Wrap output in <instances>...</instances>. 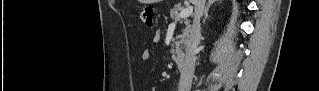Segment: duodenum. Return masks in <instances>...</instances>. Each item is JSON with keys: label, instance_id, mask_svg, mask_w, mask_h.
<instances>
[{"label": "duodenum", "instance_id": "obj_1", "mask_svg": "<svg viewBox=\"0 0 319 91\" xmlns=\"http://www.w3.org/2000/svg\"><path fill=\"white\" fill-rule=\"evenodd\" d=\"M173 60L177 64L178 68L182 69L185 64V56L181 52H176L173 54Z\"/></svg>", "mask_w": 319, "mask_h": 91}]
</instances>
